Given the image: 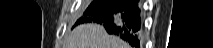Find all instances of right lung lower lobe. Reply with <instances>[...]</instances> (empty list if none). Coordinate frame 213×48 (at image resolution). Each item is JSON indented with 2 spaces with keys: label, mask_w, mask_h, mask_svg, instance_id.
I'll return each mask as SVG.
<instances>
[{
  "label": "right lung lower lobe",
  "mask_w": 213,
  "mask_h": 48,
  "mask_svg": "<svg viewBox=\"0 0 213 48\" xmlns=\"http://www.w3.org/2000/svg\"><path fill=\"white\" fill-rule=\"evenodd\" d=\"M78 23L97 22L109 34L117 35L131 46L139 45L140 28L137 0H93Z\"/></svg>",
  "instance_id": "obj_1"
}]
</instances>
